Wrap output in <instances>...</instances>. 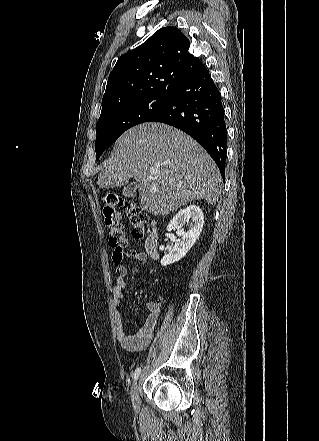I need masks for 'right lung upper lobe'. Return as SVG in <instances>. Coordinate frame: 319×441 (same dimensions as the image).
Segmentation results:
<instances>
[{
  "mask_svg": "<svg viewBox=\"0 0 319 441\" xmlns=\"http://www.w3.org/2000/svg\"><path fill=\"white\" fill-rule=\"evenodd\" d=\"M189 47V39L178 28L165 27L122 55L109 75L102 110L143 97H171L204 68Z\"/></svg>",
  "mask_w": 319,
  "mask_h": 441,
  "instance_id": "right-lung-upper-lobe-1",
  "label": "right lung upper lobe"
}]
</instances>
